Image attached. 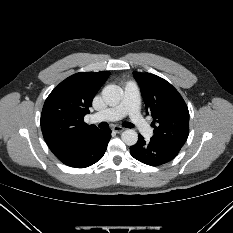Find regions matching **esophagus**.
Wrapping results in <instances>:
<instances>
[{
    "mask_svg": "<svg viewBox=\"0 0 233 233\" xmlns=\"http://www.w3.org/2000/svg\"><path fill=\"white\" fill-rule=\"evenodd\" d=\"M112 130L117 133L123 132L125 129L121 126H113Z\"/></svg>",
    "mask_w": 233,
    "mask_h": 233,
    "instance_id": "esophagus-1",
    "label": "esophagus"
}]
</instances>
